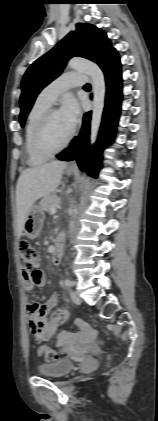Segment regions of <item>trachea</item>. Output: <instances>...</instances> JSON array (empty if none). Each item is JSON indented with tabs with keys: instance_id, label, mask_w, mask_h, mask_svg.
<instances>
[{
	"instance_id": "3493384b",
	"label": "trachea",
	"mask_w": 158,
	"mask_h": 421,
	"mask_svg": "<svg viewBox=\"0 0 158 421\" xmlns=\"http://www.w3.org/2000/svg\"><path fill=\"white\" fill-rule=\"evenodd\" d=\"M84 87L85 88H90L91 86H90V84H86Z\"/></svg>"
}]
</instances>
